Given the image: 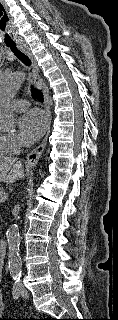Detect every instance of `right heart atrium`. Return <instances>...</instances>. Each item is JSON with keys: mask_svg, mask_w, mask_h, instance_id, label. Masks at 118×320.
Segmentation results:
<instances>
[{"mask_svg": "<svg viewBox=\"0 0 118 320\" xmlns=\"http://www.w3.org/2000/svg\"><path fill=\"white\" fill-rule=\"evenodd\" d=\"M0 141L7 153H16L23 146V140L17 133L1 134Z\"/></svg>", "mask_w": 118, "mask_h": 320, "instance_id": "1", "label": "right heart atrium"}]
</instances>
